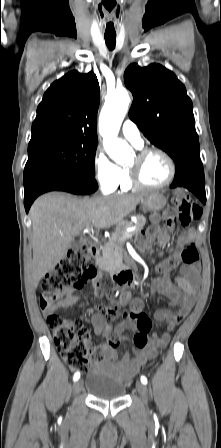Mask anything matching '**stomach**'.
<instances>
[{
	"label": "stomach",
	"instance_id": "obj_1",
	"mask_svg": "<svg viewBox=\"0 0 221 448\" xmlns=\"http://www.w3.org/2000/svg\"><path fill=\"white\" fill-rule=\"evenodd\" d=\"M166 203V197L158 192L150 193L142 201L143 209L150 212H158L162 210L165 207ZM123 225L124 223L120 224L121 227Z\"/></svg>",
	"mask_w": 221,
	"mask_h": 448
}]
</instances>
